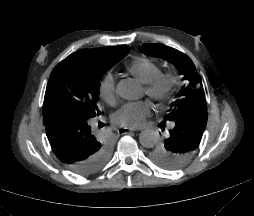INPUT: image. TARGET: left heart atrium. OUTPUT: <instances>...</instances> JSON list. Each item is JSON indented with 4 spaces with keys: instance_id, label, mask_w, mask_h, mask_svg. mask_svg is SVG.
Returning <instances> with one entry per match:
<instances>
[{
    "instance_id": "1",
    "label": "left heart atrium",
    "mask_w": 254,
    "mask_h": 216,
    "mask_svg": "<svg viewBox=\"0 0 254 216\" xmlns=\"http://www.w3.org/2000/svg\"><path fill=\"white\" fill-rule=\"evenodd\" d=\"M149 109L150 107L147 103L130 105L119 114L118 120L124 126L132 125V123L140 121L148 113ZM133 117H136L135 120H132Z\"/></svg>"
}]
</instances>
